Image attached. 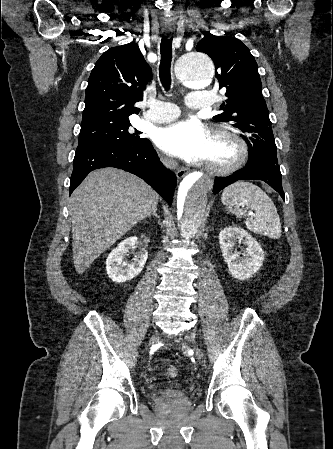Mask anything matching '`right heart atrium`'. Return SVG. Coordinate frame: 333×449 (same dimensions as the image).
Segmentation results:
<instances>
[{
    "mask_svg": "<svg viewBox=\"0 0 333 449\" xmlns=\"http://www.w3.org/2000/svg\"><path fill=\"white\" fill-rule=\"evenodd\" d=\"M163 163H164L166 166H168V167L173 166L172 160H170V159H168V158H164V159H163Z\"/></svg>",
    "mask_w": 333,
    "mask_h": 449,
    "instance_id": "1",
    "label": "right heart atrium"
}]
</instances>
